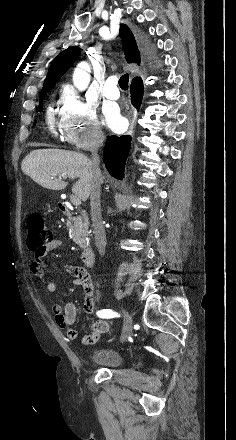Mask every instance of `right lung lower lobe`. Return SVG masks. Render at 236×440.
<instances>
[{
  "mask_svg": "<svg viewBox=\"0 0 236 440\" xmlns=\"http://www.w3.org/2000/svg\"><path fill=\"white\" fill-rule=\"evenodd\" d=\"M142 56L146 58H153L154 48L146 40L142 39L140 42ZM144 86L141 79L131 83V102L136 109H139L142 104ZM132 137L125 136H108L104 151L103 162L108 172L118 180H122L124 176L125 162L129 154Z\"/></svg>",
  "mask_w": 236,
  "mask_h": 440,
  "instance_id": "obj_1",
  "label": "right lung lower lobe"
}]
</instances>
